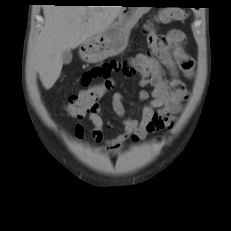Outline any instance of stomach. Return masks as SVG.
Wrapping results in <instances>:
<instances>
[{
    "label": "stomach",
    "mask_w": 231,
    "mask_h": 231,
    "mask_svg": "<svg viewBox=\"0 0 231 231\" xmlns=\"http://www.w3.org/2000/svg\"><path fill=\"white\" fill-rule=\"evenodd\" d=\"M130 4H144L146 1L129 0ZM150 7H123L117 20L105 31L98 33L83 43L80 51L82 59L90 63L103 61L122 53L128 45L132 28Z\"/></svg>",
    "instance_id": "0dacf381"
}]
</instances>
